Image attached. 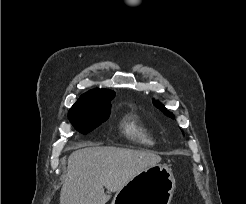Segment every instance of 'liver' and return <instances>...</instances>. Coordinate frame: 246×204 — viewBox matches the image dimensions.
Instances as JSON below:
<instances>
[{"label": "liver", "instance_id": "obj_1", "mask_svg": "<svg viewBox=\"0 0 246 204\" xmlns=\"http://www.w3.org/2000/svg\"><path fill=\"white\" fill-rule=\"evenodd\" d=\"M161 157L153 152L118 147L90 146L68 158L67 176L60 192V204H106L110 195L144 169L157 165Z\"/></svg>", "mask_w": 246, "mask_h": 204}]
</instances>
